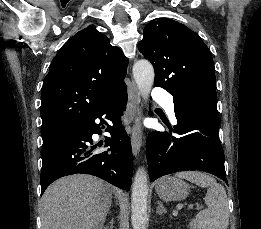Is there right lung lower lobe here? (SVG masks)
<instances>
[{
	"label": "right lung lower lobe",
	"mask_w": 261,
	"mask_h": 229,
	"mask_svg": "<svg viewBox=\"0 0 261 229\" xmlns=\"http://www.w3.org/2000/svg\"><path fill=\"white\" fill-rule=\"evenodd\" d=\"M128 99L127 89L115 94L86 123L69 130L42 147L41 194L60 177L82 173L100 177L124 190H129L133 174V161L130 139L120 125V116ZM113 126L106 129L111 137H106L101 151L93 145L92 135L101 134L102 124H107L102 116ZM99 118L97 124L95 119ZM101 146V145H99Z\"/></svg>",
	"instance_id": "obj_1"
}]
</instances>
